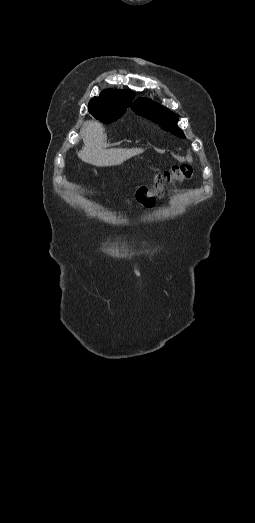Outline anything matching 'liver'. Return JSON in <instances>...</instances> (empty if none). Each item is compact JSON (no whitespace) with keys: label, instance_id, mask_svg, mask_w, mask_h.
<instances>
[{"label":"liver","instance_id":"1","mask_svg":"<svg viewBox=\"0 0 255 523\" xmlns=\"http://www.w3.org/2000/svg\"><path fill=\"white\" fill-rule=\"evenodd\" d=\"M80 134L83 136L84 146L80 152H77L78 158H81L82 162L93 164V166H118V164H122V162H126L129 158L138 156L143 152L140 148H131V150L110 148V150H105L106 136L104 128L99 122H85Z\"/></svg>","mask_w":255,"mask_h":523}]
</instances>
